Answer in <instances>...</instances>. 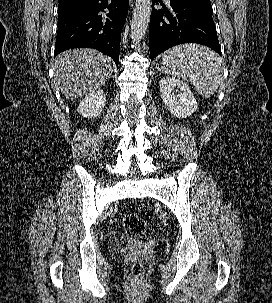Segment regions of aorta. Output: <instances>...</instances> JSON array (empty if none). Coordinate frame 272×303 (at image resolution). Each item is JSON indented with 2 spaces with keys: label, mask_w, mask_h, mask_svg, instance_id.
I'll use <instances>...</instances> for the list:
<instances>
[{
  "label": "aorta",
  "mask_w": 272,
  "mask_h": 303,
  "mask_svg": "<svg viewBox=\"0 0 272 303\" xmlns=\"http://www.w3.org/2000/svg\"><path fill=\"white\" fill-rule=\"evenodd\" d=\"M152 0H136L131 21V39L139 43L146 34L151 15Z\"/></svg>",
  "instance_id": "1"
}]
</instances>
